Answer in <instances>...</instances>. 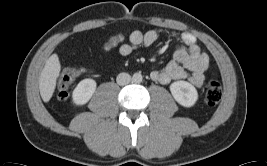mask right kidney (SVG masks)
Instances as JSON below:
<instances>
[{
	"label": "right kidney",
	"mask_w": 267,
	"mask_h": 166,
	"mask_svg": "<svg viewBox=\"0 0 267 166\" xmlns=\"http://www.w3.org/2000/svg\"><path fill=\"white\" fill-rule=\"evenodd\" d=\"M96 90V82L93 79L87 78L78 83L73 91L72 98L75 105L86 104Z\"/></svg>",
	"instance_id": "1"
}]
</instances>
